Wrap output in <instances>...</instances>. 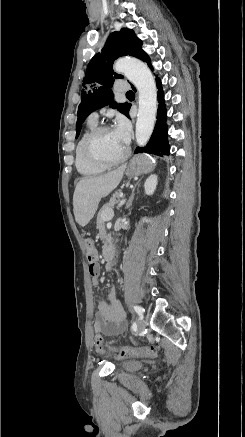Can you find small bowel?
Returning <instances> with one entry per match:
<instances>
[{
    "mask_svg": "<svg viewBox=\"0 0 245 437\" xmlns=\"http://www.w3.org/2000/svg\"><path fill=\"white\" fill-rule=\"evenodd\" d=\"M94 285H98L100 281V268L96 263L94 270L89 271ZM126 327V320L121 308V305L115 295V290L112 288L109 291V301L99 300L96 305V321L94 329L96 332H101L107 336H115L121 334Z\"/></svg>",
    "mask_w": 245,
    "mask_h": 437,
    "instance_id": "1",
    "label": "small bowel"
}]
</instances>
